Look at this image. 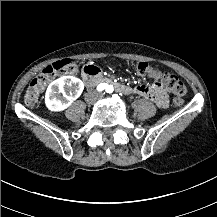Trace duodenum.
I'll return each instance as SVG.
<instances>
[{
    "instance_id": "obj_1",
    "label": "duodenum",
    "mask_w": 217,
    "mask_h": 217,
    "mask_svg": "<svg viewBox=\"0 0 217 217\" xmlns=\"http://www.w3.org/2000/svg\"><path fill=\"white\" fill-rule=\"evenodd\" d=\"M83 81L84 83L89 86L93 87L97 84H107L114 87V89L121 94H132L134 92V89L126 86L121 83H113L111 80L103 78L100 69L97 66L94 65H87L83 69L82 73Z\"/></svg>"
}]
</instances>
